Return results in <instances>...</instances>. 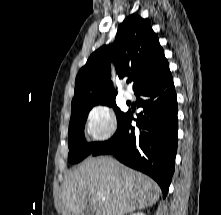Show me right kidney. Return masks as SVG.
<instances>
[{"label":"right kidney","mask_w":221,"mask_h":215,"mask_svg":"<svg viewBox=\"0 0 221 215\" xmlns=\"http://www.w3.org/2000/svg\"><path fill=\"white\" fill-rule=\"evenodd\" d=\"M131 215H145V214L142 213V212H137V213H133V214H131Z\"/></svg>","instance_id":"right-kidney-1"}]
</instances>
